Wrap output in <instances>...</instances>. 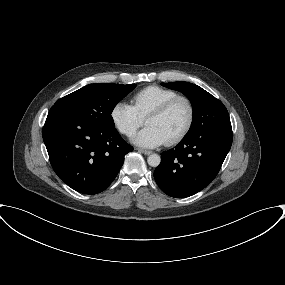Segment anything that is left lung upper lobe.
I'll use <instances>...</instances> for the list:
<instances>
[{"label":"left lung upper lobe","instance_id":"left-lung-upper-lobe-1","mask_svg":"<svg viewBox=\"0 0 285 285\" xmlns=\"http://www.w3.org/2000/svg\"><path fill=\"white\" fill-rule=\"evenodd\" d=\"M162 85L182 92L192 104L193 120L186 135L214 129L232 130L226 107L201 87L188 82L162 83Z\"/></svg>","mask_w":285,"mask_h":285}]
</instances>
